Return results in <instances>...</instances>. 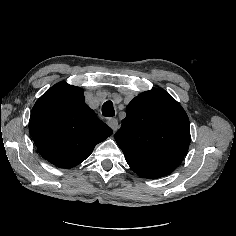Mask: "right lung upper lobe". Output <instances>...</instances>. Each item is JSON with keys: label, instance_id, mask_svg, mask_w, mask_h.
<instances>
[{"label": "right lung upper lobe", "instance_id": "cb5924a9", "mask_svg": "<svg viewBox=\"0 0 236 236\" xmlns=\"http://www.w3.org/2000/svg\"><path fill=\"white\" fill-rule=\"evenodd\" d=\"M29 128L41 156L60 168L80 164L113 132L87 106L83 90L66 82L37 100Z\"/></svg>", "mask_w": 236, "mask_h": 236}]
</instances>
